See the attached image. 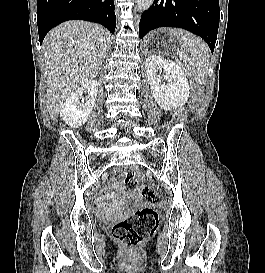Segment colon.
Masks as SVG:
<instances>
[{"instance_id":"obj_1","label":"colon","mask_w":265,"mask_h":273,"mask_svg":"<svg viewBox=\"0 0 265 273\" xmlns=\"http://www.w3.org/2000/svg\"><path fill=\"white\" fill-rule=\"evenodd\" d=\"M125 186L128 192L137 193L147 202L154 203L158 196L148 187L141 183L139 172L130 169L125 176ZM159 225L157 211L145 205L138 208L131 216L117 222L112 229L114 238L129 249L139 248L151 238Z\"/></svg>"}]
</instances>
